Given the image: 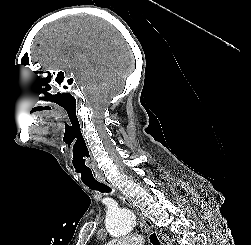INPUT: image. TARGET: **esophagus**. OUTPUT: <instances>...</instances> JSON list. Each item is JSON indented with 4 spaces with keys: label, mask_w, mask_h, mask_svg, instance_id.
<instances>
[{
    "label": "esophagus",
    "mask_w": 251,
    "mask_h": 245,
    "mask_svg": "<svg viewBox=\"0 0 251 245\" xmlns=\"http://www.w3.org/2000/svg\"><path fill=\"white\" fill-rule=\"evenodd\" d=\"M102 182L107 185L108 187L112 188L113 191L115 192V195L123 202L125 203L127 206H129L130 208H132L135 213L137 214L138 216V219L140 222H142L144 225H146L148 228L154 230L155 232H157V229L156 227L153 225V223L147 219L141 212L138 208H136L133 203L125 196L123 195L115 186H113L111 184L110 181H108L107 179H103ZM160 239V237H159ZM160 242H161V245H166L165 242L160 239Z\"/></svg>",
    "instance_id": "esophagus-1"
}]
</instances>
